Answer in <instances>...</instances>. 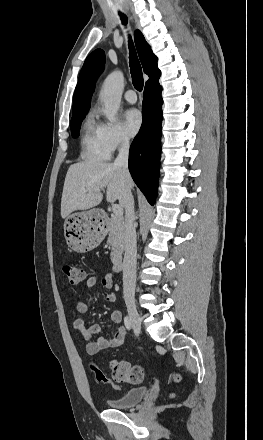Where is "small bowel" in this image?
Returning a JSON list of instances; mask_svg holds the SVG:
<instances>
[{"mask_svg":"<svg viewBox=\"0 0 263 440\" xmlns=\"http://www.w3.org/2000/svg\"><path fill=\"white\" fill-rule=\"evenodd\" d=\"M98 283L109 292L104 296L103 300L107 303H112L116 300V294L112 291L114 285V275L111 272L105 273L101 276L92 275L87 278L85 289L90 292ZM89 304L87 301L79 300L75 304V311L77 318L74 321V328L79 333L82 340L86 342V351L89 355H96L99 351L108 348H116L121 346L126 337V329L119 327L111 339H106L102 336L101 327L98 324L87 326L83 316L88 312ZM111 321L115 324L122 322V313L119 310H114L110 314Z\"/></svg>","mask_w":263,"mask_h":440,"instance_id":"1","label":"small bowel"}]
</instances>
